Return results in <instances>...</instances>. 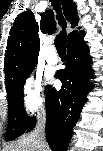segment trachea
I'll return each instance as SVG.
<instances>
[{
    "mask_svg": "<svg viewBox=\"0 0 103 151\" xmlns=\"http://www.w3.org/2000/svg\"><path fill=\"white\" fill-rule=\"evenodd\" d=\"M52 5L57 13V19L59 20L60 25L62 26L63 30L60 32L59 35H57L56 39H55V46L57 49V52L59 54H66V39H67V35H66V21L63 17L62 11H61V4L59 2V0H51Z\"/></svg>",
    "mask_w": 103,
    "mask_h": 151,
    "instance_id": "1",
    "label": "trachea"
}]
</instances>
